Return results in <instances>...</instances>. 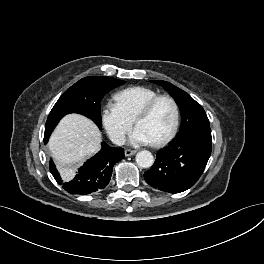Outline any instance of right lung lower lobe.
Here are the masks:
<instances>
[{"mask_svg": "<svg viewBox=\"0 0 264 264\" xmlns=\"http://www.w3.org/2000/svg\"><path fill=\"white\" fill-rule=\"evenodd\" d=\"M44 143H47L46 139ZM124 157V149L109 147L102 142L101 150L84 163L72 180L63 182L52 160L49 169L67 192L85 195L104 189L110 181L114 165Z\"/></svg>", "mask_w": 264, "mask_h": 264, "instance_id": "right-lung-lower-lobe-1", "label": "right lung lower lobe"}]
</instances>
